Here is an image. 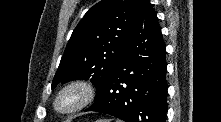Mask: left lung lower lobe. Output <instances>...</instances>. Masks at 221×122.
<instances>
[{"label": "left lung lower lobe", "instance_id": "0a47b994", "mask_svg": "<svg viewBox=\"0 0 221 122\" xmlns=\"http://www.w3.org/2000/svg\"><path fill=\"white\" fill-rule=\"evenodd\" d=\"M166 66L157 16L149 0H141L134 26L107 85L86 111L110 114L126 122H165Z\"/></svg>", "mask_w": 221, "mask_h": 122}]
</instances>
